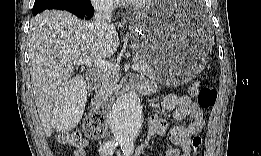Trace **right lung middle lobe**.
<instances>
[{
	"instance_id": "right-lung-middle-lobe-1",
	"label": "right lung middle lobe",
	"mask_w": 261,
	"mask_h": 156,
	"mask_svg": "<svg viewBox=\"0 0 261 156\" xmlns=\"http://www.w3.org/2000/svg\"><path fill=\"white\" fill-rule=\"evenodd\" d=\"M72 3V0H35L33 11L67 5Z\"/></svg>"
}]
</instances>
